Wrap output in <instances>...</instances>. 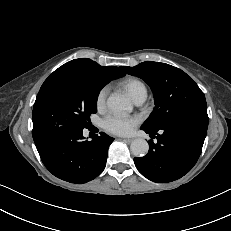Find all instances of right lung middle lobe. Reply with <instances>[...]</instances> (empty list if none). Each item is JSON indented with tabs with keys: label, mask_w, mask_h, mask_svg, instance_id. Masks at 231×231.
Masks as SVG:
<instances>
[{
	"label": "right lung middle lobe",
	"mask_w": 231,
	"mask_h": 231,
	"mask_svg": "<svg viewBox=\"0 0 231 231\" xmlns=\"http://www.w3.org/2000/svg\"><path fill=\"white\" fill-rule=\"evenodd\" d=\"M110 80L94 72H71L48 77L33 108V139L52 140L89 128L97 112L100 90Z\"/></svg>",
	"instance_id": "obj_1"
}]
</instances>
